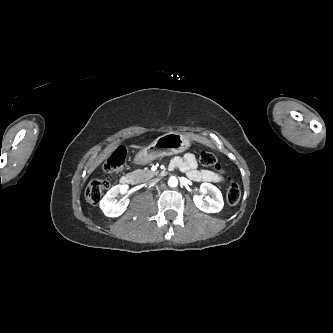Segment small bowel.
Returning a JSON list of instances; mask_svg holds the SVG:
<instances>
[{
  "mask_svg": "<svg viewBox=\"0 0 333 333\" xmlns=\"http://www.w3.org/2000/svg\"><path fill=\"white\" fill-rule=\"evenodd\" d=\"M171 167L178 168L185 172L188 177L197 182L220 183L222 177L210 170H199L195 156L192 153H185L182 157H174Z\"/></svg>",
  "mask_w": 333,
  "mask_h": 333,
  "instance_id": "small-bowel-1",
  "label": "small bowel"
}]
</instances>
